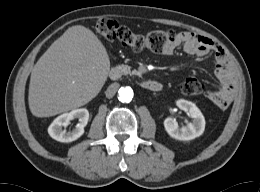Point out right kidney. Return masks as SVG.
Listing matches in <instances>:
<instances>
[{"instance_id": "1", "label": "right kidney", "mask_w": 260, "mask_h": 192, "mask_svg": "<svg viewBox=\"0 0 260 192\" xmlns=\"http://www.w3.org/2000/svg\"><path fill=\"white\" fill-rule=\"evenodd\" d=\"M78 119L79 123L72 131H66L63 127H67L71 120ZM89 112L85 108L74 109L70 112L63 113L50 124L48 127L49 135L60 142H72L81 137L84 133V127L87 125Z\"/></svg>"}]
</instances>
